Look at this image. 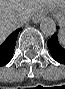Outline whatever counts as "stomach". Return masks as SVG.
<instances>
[{
	"label": "stomach",
	"instance_id": "0dacf381",
	"mask_svg": "<svg viewBox=\"0 0 65 89\" xmlns=\"http://www.w3.org/2000/svg\"><path fill=\"white\" fill-rule=\"evenodd\" d=\"M48 10L57 18H65V9L64 8H61V9H58L56 7H51V8H48Z\"/></svg>",
	"mask_w": 65,
	"mask_h": 89
}]
</instances>
